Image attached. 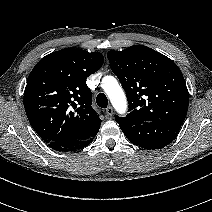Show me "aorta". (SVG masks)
I'll list each match as a JSON object with an SVG mask.
<instances>
[{
  "label": "aorta",
  "instance_id": "762f6f07",
  "mask_svg": "<svg viewBox=\"0 0 212 212\" xmlns=\"http://www.w3.org/2000/svg\"><path fill=\"white\" fill-rule=\"evenodd\" d=\"M102 88L110 99L118 113H124L127 109V100L123 89L113 76H105L102 79Z\"/></svg>",
  "mask_w": 212,
  "mask_h": 212
}]
</instances>
